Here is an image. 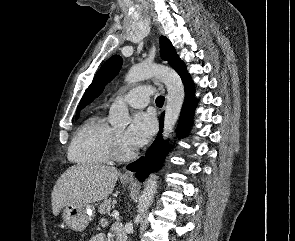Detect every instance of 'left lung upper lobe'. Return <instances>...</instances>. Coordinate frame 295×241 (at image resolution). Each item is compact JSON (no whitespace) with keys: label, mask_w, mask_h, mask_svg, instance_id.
<instances>
[{"label":"left lung upper lobe","mask_w":295,"mask_h":241,"mask_svg":"<svg viewBox=\"0 0 295 241\" xmlns=\"http://www.w3.org/2000/svg\"><path fill=\"white\" fill-rule=\"evenodd\" d=\"M160 53L163 60L169 61V64L176 70L184 81L190 76L187 71L185 64L180 60L171 42L164 36L160 37ZM122 65V59L120 56L115 55L108 59L102 67L96 73L92 83L87 88L81 99V106L84 107L91 103L94 98L98 97L103 91L105 85L115 77Z\"/></svg>","instance_id":"5c2ea615"}]
</instances>
